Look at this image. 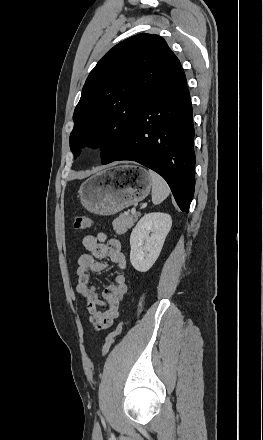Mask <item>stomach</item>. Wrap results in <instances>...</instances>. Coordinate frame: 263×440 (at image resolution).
I'll return each instance as SVG.
<instances>
[{"instance_id": "0dacf381", "label": "stomach", "mask_w": 263, "mask_h": 440, "mask_svg": "<svg viewBox=\"0 0 263 440\" xmlns=\"http://www.w3.org/2000/svg\"><path fill=\"white\" fill-rule=\"evenodd\" d=\"M151 186L148 171L141 167H111L84 181L79 197L88 211L109 216L145 199Z\"/></svg>"}]
</instances>
